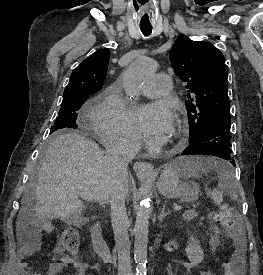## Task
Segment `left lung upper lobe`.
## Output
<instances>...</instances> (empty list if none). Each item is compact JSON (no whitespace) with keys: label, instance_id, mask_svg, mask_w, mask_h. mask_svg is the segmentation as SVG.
<instances>
[{"label":"left lung upper lobe","instance_id":"obj_1","mask_svg":"<svg viewBox=\"0 0 263 275\" xmlns=\"http://www.w3.org/2000/svg\"><path fill=\"white\" fill-rule=\"evenodd\" d=\"M169 57L175 73L189 89L185 105L192 140L216 118L230 116L224 55L209 42L181 36Z\"/></svg>","mask_w":263,"mask_h":275}]
</instances>
